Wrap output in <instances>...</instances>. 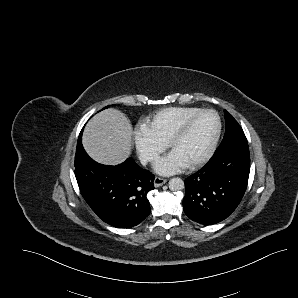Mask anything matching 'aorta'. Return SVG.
Masks as SVG:
<instances>
[{
  "mask_svg": "<svg viewBox=\"0 0 298 298\" xmlns=\"http://www.w3.org/2000/svg\"><path fill=\"white\" fill-rule=\"evenodd\" d=\"M168 187L171 191H179L185 188V183L180 177H174L169 180Z\"/></svg>",
  "mask_w": 298,
  "mask_h": 298,
  "instance_id": "aorta-1",
  "label": "aorta"
}]
</instances>
